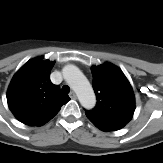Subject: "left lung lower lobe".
Segmentation results:
<instances>
[{"instance_id": "1", "label": "left lung lower lobe", "mask_w": 163, "mask_h": 163, "mask_svg": "<svg viewBox=\"0 0 163 163\" xmlns=\"http://www.w3.org/2000/svg\"><path fill=\"white\" fill-rule=\"evenodd\" d=\"M91 122L102 131H116L125 126V124L103 123V122H96V121H91Z\"/></svg>"}]
</instances>
